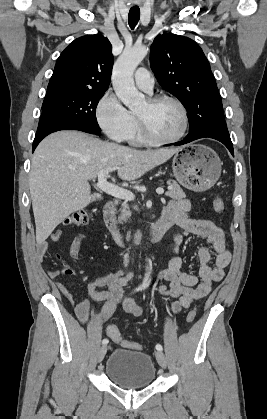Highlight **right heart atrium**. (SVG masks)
Masks as SVG:
<instances>
[{
    "mask_svg": "<svg viewBox=\"0 0 267 419\" xmlns=\"http://www.w3.org/2000/svg\"><path fill=\"white\" fill-rule=\"evenodd\" d=\"M95 116L101 130L115 141L127 140L134 126L131 112L112 92H106L101 97Z\"/></svg>",
    "mask_w": 267,
    "mask_h": 419,
    "instance_id": "d8ad5b80",
    "label": "right heart atrium"
}]
</instances>
